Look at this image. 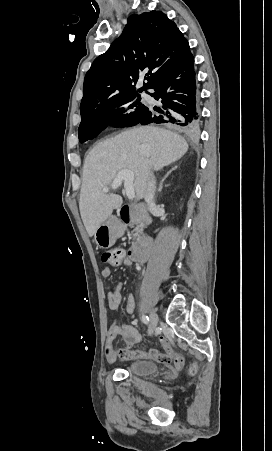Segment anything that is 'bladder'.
<instances>
[{
    "mask_svg": "<svg viewBox=\"0 0 272 451\" xmlns=\"http://www.w3.org/2000/svg\"><path fill=\"white\" fill-rule=\"evenodd\" d=\"M126 369L130 376L144 377L155 374L158 369L157 363L152 360H131L127 363Z\"/></svg>",
    "mask_w": 272,
    "mask_h": 451,
    "instance_id": "bladder-1",
    "label": "bladder"
}]
</instances>
